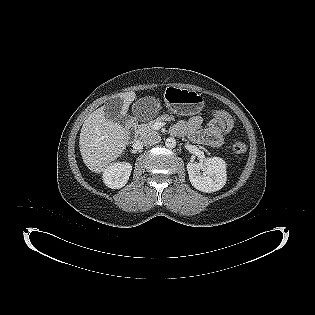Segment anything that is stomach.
Masks as SVG:
<instances>
[{"mask_svg":"<svg viewBox=\"0 0 315 315\" xmlns=\"http://www.w3.org/2000/svg\"><path fill=\"white\" fill-rule=\"evenodd\" d=\"M166 107L173 113L191 116L201 112L204 98L194 90L168 86L164 93Z\"/></svg>","mask_w":315,"mask_h":315,"instance_id":"1","label":"stomach"}]
</instances>
